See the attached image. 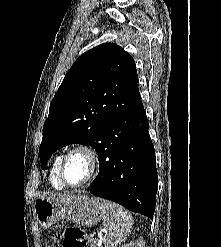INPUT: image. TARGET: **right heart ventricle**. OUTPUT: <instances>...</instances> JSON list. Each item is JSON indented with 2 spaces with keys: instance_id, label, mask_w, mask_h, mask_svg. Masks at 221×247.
Wrapping results in <instances>:
<instances>
[{
  "instance_id": "e07e8e85",
  "label": "right heart ventricle",
  "mask_w": 221,
  "mask_h": 247,
  "mask_svg": "<svg viewBox=\"0 0 221 247\" xmlns=\"http://www.w3.org/2000/svg\"><path fill=\"white\" fill-rule=\"evenodd\" d=\"M62 158H63V153L57 154L53 160L50 169V176H49L50 183L57 190H63L65 188V185L63 184L59 176V170H60V164Z\"/></svg>"
}]
</instances>
